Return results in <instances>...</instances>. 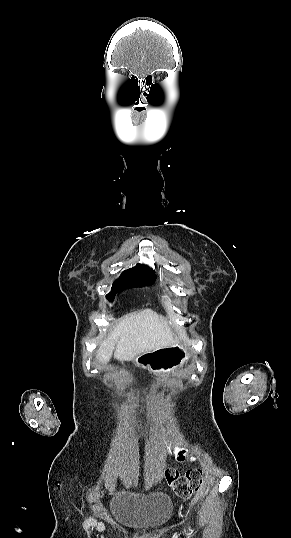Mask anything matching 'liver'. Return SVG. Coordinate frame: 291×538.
Instances as JSON below:
<instances>
[{
  "mask_svg": "<svg viewBox=\"0 0 291 538\" xmlns=\"http://www.w3.org/2000/svg\"><path fill=\"white\" fill-rule=\"evenodd\" d=\"M167 322L151 309H144L124 316L101 343L97 359L106 363L113 350L118 360H132L144 352L176 343ZM116 345V348H115Z\"/></svg>",
  "mask_w": 291,
  "mask_h": 538,
  "instance_id": "liver-1",
  "label": "liver"
}]
</instances>
